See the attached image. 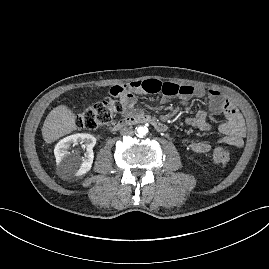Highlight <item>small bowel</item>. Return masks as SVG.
Segmentation results:
<instances>
[{
	"mask_svg": "<svg viewBox=\"0 0 269 269\" xmlns=\"http://www.w3.org/2000/svg\"><path fill=\"white\" fill-rule=\"evenodd\" d=\"M111 91L118 93L122 105V113L126 116L137 114L135 94L161 93L165 98H179L183 105L193 97H207L209 111L214 114H222L226 118V121L219 126L221 136L217 140L236 147H240L243 143L245 126L241 113L215 89L206 90L201 86L178 85L163 83L156 79H148L133 81L122 86H114L111 88ZM187 123L200 131H208L210 129L204 110H200L193 117L188 118ZM189 148L193 152L204 153L209 151L210 144L206 141L195 140L189 144Z\"/></svg>",
	"mask_w": 269,
	"mask_h": 269,
	"instance_id": "obj_1",
	"label": "small bowel"
}]
</instances>
